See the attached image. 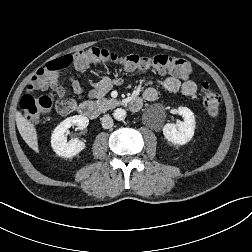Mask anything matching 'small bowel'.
<instances>
[{
  "label": "small bowel",
  "mask_w": 252,
  "mask_h": 252,
  "mask_svg": "<svg viewBox=\"0 0 252 252\" xmlns=\"http://www.w3.org/2000/svg\"><path fill=\"white\" fill-rule=\"evenodd\" d=\"M68 81L77 96L84 93V87L75 76H68ZM120 78L100 77L98 81L93 82V89L89 91L90 98H100L105 95L113 86L120 85ZM161 86L169 92H179L184 96H193L197 91V84L191 79L181 81L176 76H167L161 80ZM56 88L62 90L58 82ZM63 91V90H62ZM143 98L147 101H155L158 98L156 89L149 87L144 90ZM56 107L59 113L68 114L76 108V102L72 99H57Z\"/></svg>",
  "instance_id": "1"
}]
</instances>
